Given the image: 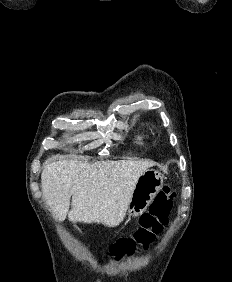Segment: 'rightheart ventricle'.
Masks as SVG:
<instances>
[{"instance_id":"e07e8e85","label":"right heart ventricle","mask_w":232,"mask_h":282,"mask_svg":"<svg viewBox=\"0 0 232 282\" xmlns=\"http://www.w3.org/2000/svg\"><path fill=\"white\" fill-rule=\"evenodd\" d=\"M148 133L147 132H140L137 136H136V141L139 145H143L145 143V141L148 139Z\"/></svg>"}]
</instances>
